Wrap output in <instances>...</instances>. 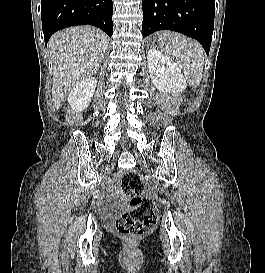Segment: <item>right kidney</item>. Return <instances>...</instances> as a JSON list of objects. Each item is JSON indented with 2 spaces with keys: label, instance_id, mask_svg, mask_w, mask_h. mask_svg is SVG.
I'll return each mask as SVG.
<instances>
[{
  "label": "right kidney",
  "instance_id": "1",
  "mask_svg": "<svg viewBox=\"0 0 265 273\" xmlns=\"http://www.w3.org/2000/svg\"><path fill=\"white\" fill-rule=\"evenodd\" d=\"M97 80L89 77L78 83L69 93L68 102L77 112L85 110L91 102L96 88Z\"/></svg>",
  "mask_w": 265,
  "mask_h": 273
}]
</instances>
